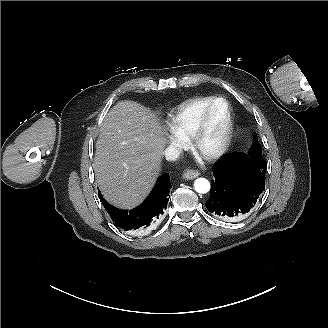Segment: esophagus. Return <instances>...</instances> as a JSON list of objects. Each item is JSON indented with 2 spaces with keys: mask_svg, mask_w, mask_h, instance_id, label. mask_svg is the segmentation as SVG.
Instances as JSON below:
<instances>
[{
  "mask_svg": "<svg viewBox=\"0 0 328 328\" xmlns=\"http://www.w3.org/2000/svg\"><path fill=\"white\" fill-rule=\"evenodd\" d=\"M199 176V172L192 169H187L183 172L182 177L185 180H191Z\"/></svg>",
  "mask_w": 328,
  "mask_h": 328,
  "instance_id": "obj_1",
  "label": "esophagus"
}]
</instances>
